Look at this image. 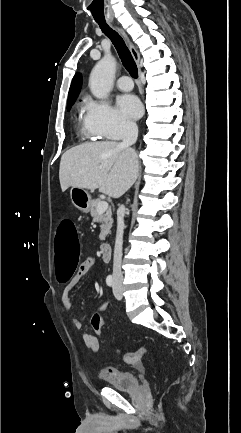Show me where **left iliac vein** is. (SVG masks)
<instances>
[{"label": "left iliac vein", "mask_w": 241, "mask_h": 433, "mask_svg": "<svg viewBox=\"0 0 241 433\" xmlns=\"http://www.w3.org/2000/svg\"><path fill=\"white\" fill-rule=\"evenodd\" d=\"M113 293L117 300L122 299V287L121 284L117 281H115L113 284Z\"/></svg>", "instance_id": "left-iliac-vein-1"}]
</instances>
